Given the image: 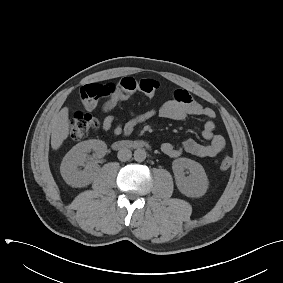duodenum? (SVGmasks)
Segmentation results:
<instances>
[{"instance_id": "1", "label": "duodenum", "mask_w": 283, "mask_h": 283, "mask_svg": "<svg viewBox=\"0 0 283 283\" xmlns=\"http://www.w3.org/2000/svg\"><path fill=\"white\" fill-rule=\"evenodd\" d=\"M147 144L142 140H119L112 144L114 150L123 149H140L146 147Z\"/></svg>"}]
</instances>
